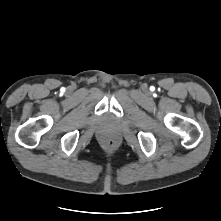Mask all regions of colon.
I'll return each instance as SVG.
<instances>
[{"label": "colon", "mask_w": 221, "mask_h": 221, "mask_svg": "<svg viewBox=\"0 0 221 221\" xmlns=\"http://www.w3.org/2000/svg\"><path fill=\"white\" fill-rule=\"evenodd\" d=\"M116 145H117V144H116V141L113 140V139H110V138L105 139L104 142H103V146H104V148H105L107 151H113V150H115Z\"/></svg>", "instance_id": "colon-1"}]
</instances>
